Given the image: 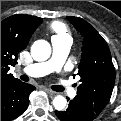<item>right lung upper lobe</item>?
Listing matches in <instances>:
<instances>
[{
  "instance_id": "1",
  "label": "right lung upper lobe",
  "mask_w": 121,
  "mask_h": 121,
  "mask_svg": "<svg viewBox=\"0 0 121 121\" xmlns=\"http://www.w3.org/2000/svg\"><path fill=\"white\" fill-rule=\"evenodd\" d=\"M41 23V18L26 14H16L1 21V87L20 81L8 71L17 63L18 53L26 48Z\"/></svg>"
}]
</instances>
